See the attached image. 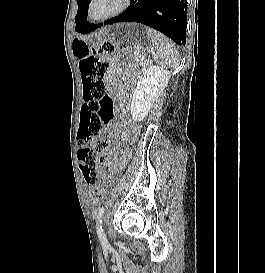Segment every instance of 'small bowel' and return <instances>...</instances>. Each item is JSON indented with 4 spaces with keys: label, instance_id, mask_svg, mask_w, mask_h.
Here are the masks:
<instances>
[{
    "label": "small bowel",
    "instance_id": "small-bowel-1",
    "mask_svg": "<svg viewBox=\"0 0 265 273\" xmlns=\"http://www.w3.org/2000/svg\"><path fill=\"white\" fill-rule=\"evenodd\" d=\"M108 62L112 66V69H111V71H110V73L108 75V81H109L111 87L114 88V87H116V84H117V82H116V72H115V68H114L115 67V59L114 58H110V59H108ZM123 123L125 125H129V123H128V121L126 119H123ZM109 131H110V126L108 125V126H106L104 128V131H103L104 136H106L109 133ZM102 159L105 162L109 161V152L108 151H106L105 153H103Z\"/></svg>",
    "mask_w": 265,
    "mask_h": 273
}]
</instances>
